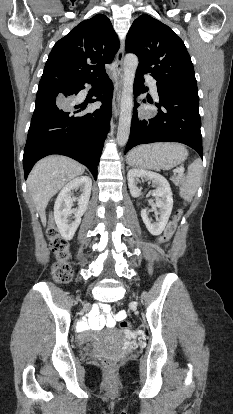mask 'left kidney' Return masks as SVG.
Returning <instances> with one entry per match:
<instances>
[{"instance_id":"1","label":"left kidney","mask_w":233,"mask_h":414,"mask_svg":"<svg viewBox=\"0 0 233 414\" xmlns=\"http://www.w3.org/2000/svg\"><path fill=\"white\" fill-rule=\"evenodd\" d=\"M139 178L152 181L155 187L152 195L156 197V205L158 207L156 213L159 215V218L157 222L152 223L147 209L141 210V217L148 231L152 235L158 236L163 232L172 212L173 197L171 188L167 180L155 172L142 169H130L127 174V179L129 190L133 197H138L141 194V189L137 186Z\"/></svg>"}]
</instances>
